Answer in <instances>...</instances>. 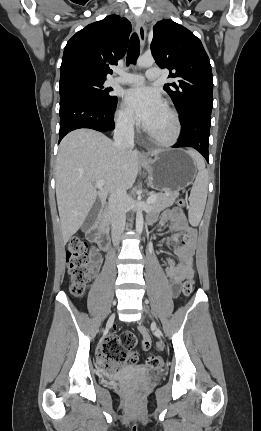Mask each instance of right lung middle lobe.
Returning <instances> with one entry per match:
<instances>
[{
  "instance_id": "dd1d6c3e",
  "label": "right lung middle lobe",
  "mask_w": 261,
  "mask_h": 431,
  "mask_svg": "<svg viewBox=\"0 0 261 431\" xmlns=\"http://www.w3.org/2000/svg\"><path fill=\"white\" fill-rule=\"evenodd\" d=\"M105 78L83 71H72L60 75V92L72 91L86 94L101 104H110L117 99L109 94L112 88L103 86Z\"/></svg>"
}]
</instances>
